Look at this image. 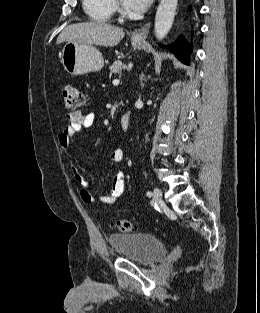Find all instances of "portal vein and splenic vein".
<instances>
[{
    "instance_id": "portal-vein-and-splenic-vein-1",
    "label": "portal vein and splenic vein",
    "mask_w": 260,
    "mask_h": 313,
    "mask_svg": "<svg viewBox=\"0 0 260 313\" xmlns=\"http://www.w3.org/2000/svg\"><path fill=\"white\" fill-rule=\"evenodd\" d=\"M114 85H117V84H119V80L118 79H115V80H113V82H112Z\"/></svg>"
}]
</instances>
